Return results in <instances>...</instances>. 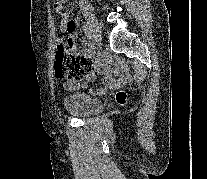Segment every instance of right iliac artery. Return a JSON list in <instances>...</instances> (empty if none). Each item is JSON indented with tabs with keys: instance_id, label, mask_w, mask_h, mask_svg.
I'll list each match as a JSON object with an SVG mask.
<instances>
[{
	"instance_id": "82829eb1",
	"label": "right iliac artery",
	"mask_w": 207,
	"mask_h": 179,
	"mask_svg": "<svg viewBox=\"0 0 207 179\" xmlns=\"http://www.w3.org/2000/svg\"><path fill=\"white\" fill-rule=\"evenodd\" d=\"M83 31L85 33V35L88 37V38H92L94 37V34H93V31L91 30V28L88 26V24H84L83 25Z\"/></svg>"
}]
</instances>
